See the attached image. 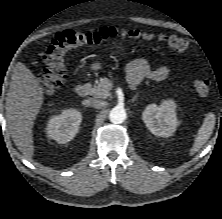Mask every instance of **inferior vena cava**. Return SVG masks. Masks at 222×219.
I'll return each mask as SVG.
<instances>
[{
	"label": "inferior vena cava",
	"instance_id": "inferior-vena-cava-1",
	"mask_svg": "<svg viewBox=\"0 0 222 219\" xmlns=\"http://www.w3.org/2000/svg\"><path fill=\"white\" fill-rule=\"evenodd\" d=\"M88 105L100 109L104 106V102L98 99H90L88 100Z\"/></svg>",
	"mask_w": 222,
	"mask_h": 219
}]
</instances>
